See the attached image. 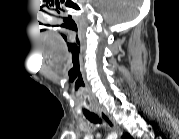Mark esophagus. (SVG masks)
<instances>
[{
	"mask_svg": "<svg viewBox=\"0 0 179 139\" xmlns=\"http://www.w3.org/2000/svg\"><path fill=\"white\" fill-rule=\"evenodd\" d=\"M96 112L98 113V115L101 117V119L104 121V123L110 129L117 130L119 132V134L122 135V133L120 132V130L116 126L115 122L111 119V117L104 110L98 109V110H96Z\"/></svg>",
	"mask_w": 179,
	"mask_h": 139,
	"instance_id": "34e87169",
	"label": "esophagus"
}]
</instances>
